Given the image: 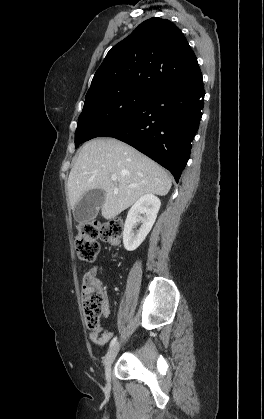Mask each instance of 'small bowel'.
I'll return each instance as SVG.
<instances>
[{"instance_id":"1","label":"small bowel","mask_w":264,"mask_h":419,"mask_svg":"<svg viewBox=\"0 0 264 419\" xmlns=\"http://www.w3.org/2000/svg\"><path fill=\"white\" fill-rule=\"evenodd\" d=\"M102 271H103L102 266H94L91 269H89L86 274H92L94 276H98L99 274L102 273ZM109 315H110V307L107 302L105 309L103 311V316L107 318L109 317ZM112 335L113 334L111 332H104L100 334L98 331H93L90 333L89 337L96 344L105 345L111 339Z\"/></svg>"}]
</instances>
